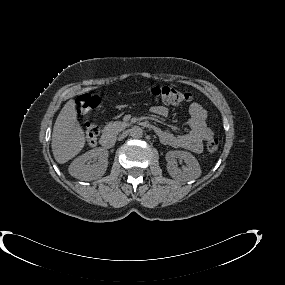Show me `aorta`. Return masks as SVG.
Returning <instances> with one entry per match:
<instances>
[{"mask_svg":"<svg viewBox=\"0 0 285 285\" xmlns=\"http://www.w3.org/2000/svg\"><path fill=\"white\" fill-rule=\"evenodd\" d=\"M131 136L133 138H141L143 136V130L140 127H134L131 130Z\"/></svg>","mask_w":285,"mask_h":285,"instance_id":"obj_1","label":"aorta"}]
</instances>
